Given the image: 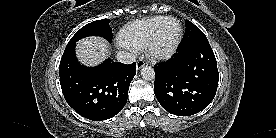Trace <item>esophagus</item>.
<instances>
[{
	"instance_id": "1",
	"label": "esophagus",
	"mask_w": 276,
	"mask_h": 138,
	"mask_svg": "<svg viewBox=\"0 0 276 138\" xmlns=\"http://www.w3.org/2000/svg\"><path fill=\"white\" fill-rule=\"evenodd\" d=\"M147 64L146 60L144 58H140L138 61H137V70L141 69L143 66H145Z\"/></svg>"
}]
</instances>
